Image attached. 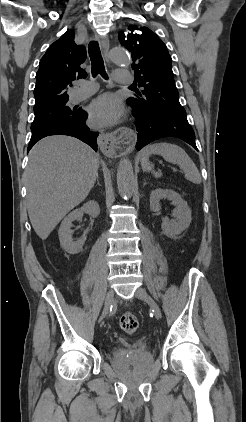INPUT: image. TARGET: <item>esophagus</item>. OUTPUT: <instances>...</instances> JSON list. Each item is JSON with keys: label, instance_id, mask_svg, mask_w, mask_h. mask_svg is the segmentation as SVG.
<instances>
[{"label": "esophagus", "instance_id": "esophagus-1", "mask_svg": "<svg viewBox=\"0 0 246 422\" xmlns=\"http://www.w3.org/2000/svg\"><path fill=\"white\" fill-rule=\"evenodd\" d=\"M96 38L99 41V44L103 51L106 62L109 63L110 60H109L108 52H109L110 45H109L108 37L96 36ZM99 146L101 148V151L105 155L112 156V155H115L118 150L119 141L114 134L101 132L99 135Z\"/></svg>", "mask_w": 246, "mask_h": 422}]
</instances>
